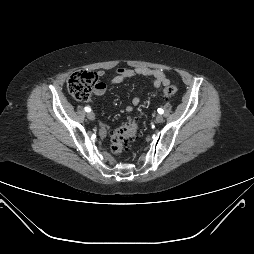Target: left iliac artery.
I'll list each match as a JSON object with an SVG mask.
<instances>
[{
  "label": "left iliac artery",
  "instance_id": "left-iliac-artery-1",
  "mask_svg": "<svg viewBox=\"0 0 254 254\" xmlns=\"http://www.w3.org/2000/svg\"><path fill=\"white\" fill-rule=\"evenodd\" d=\"M163 112H164V111H163L162 108H159V109H158V113H159V114H163Z\"/></svg>",
  "mask_w": 254,
  "mask_h": 254
}]
</instances>
